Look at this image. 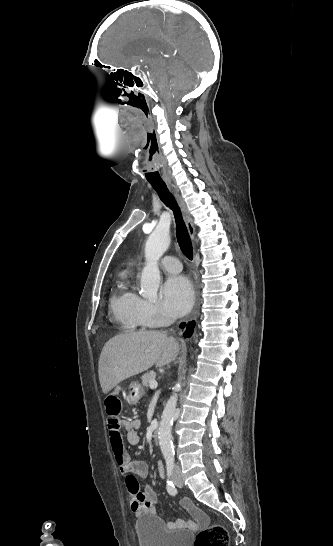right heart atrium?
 Wrapping results in <instances>:
<instances>
[{"label": "right heart atrium", "instance_id": "obj_1", "mask_svg": "<svg viewBox=\"0 0 333 546\" xmlns=\"http://www.w3.org/2000/svg\"><path fill=\"white\" fill-rule=\"evenodd\" d=\"M136 312L147 326H156L167 321V316L159 305L140 297L136 303Z\"/></svg>", "mask_w": 333, "mask_h": 546}]
</instances>
